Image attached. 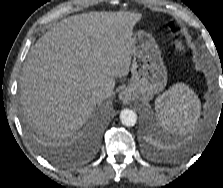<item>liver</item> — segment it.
<instances>
[{
	"label": "liver",
	"instance_id": "liver-1",
	"mask_svg": "<svg viewBox=\"0 0 223 188\" xmlns=\"http://www.w3.org/2000/svg\"><path fill=\"white\" fill-rule=\"evenodd\" d=\"M142 14L89 12L52 26L31 47L20 77L21 104L40 134L65 139L94 111L91 92L128 75L132 28ZM109 95V96H110Z\"/></svg>",
	"mask_w": 223,
	"mask_h": 188
}]
</instances>
